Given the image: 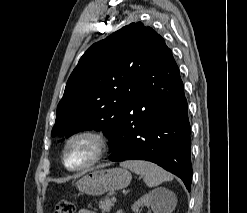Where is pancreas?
Here are the masks:
<instances>
[{
    "mask_svg": "<svg viewBox=\"0 0 247 213\" xmlns=\"http://www.w3.org/2000/svg\"><path fill=\"white\" fill-rule=\"evenodd\" d=\"M114 206V201L106 196L99 201V208L102 210L103 213H107L111 210Z\"/></svg>",
    "mask_w": 247,
    "mask_h": 213,
    "instance_id": "pancreas-1",
    "label": "pancreas"
}]
</instances>
